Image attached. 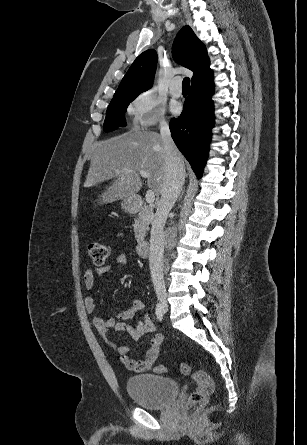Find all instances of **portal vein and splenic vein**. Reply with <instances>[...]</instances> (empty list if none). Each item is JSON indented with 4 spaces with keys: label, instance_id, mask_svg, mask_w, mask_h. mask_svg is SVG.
<instances>
[{
    "label": "portal vein and splenic vein",
    "instance_id": "portal-vein-and-splenic-vein-1",
    "mask_svg": "<svg viewBox=\"0 0 307 445\" xmlns=\"http://www.w3.org/2000/svg\"><path fill=\"white\" fill-rule=\"evenodd\" d=\"M126 172H131V170H129V168H125L124 170V174H126ZM139 174H141V176H144V178H148V176H150L149 172H146V170H138ZM124 174H119V176H124ZM145 198H146V202H149V204H152V202H154L155 200V192L154 190H146V194H145Z\"/></svg>",
    "mask_w": 307,
    "mask_h": 445
}]
</instances>
